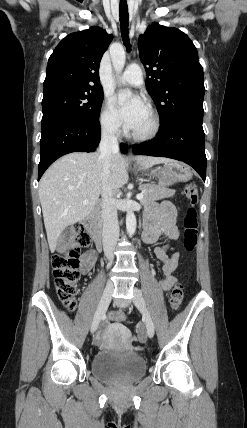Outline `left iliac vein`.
<instances>
[{
	"label": "left iliac vein",
	"instance_id": "left-iliac-vein-1",
	"mask_svg": "<svg viewBox=\"0 0 247 428\" xmlns=\"http://www.w3.org/2000/svg\"><path fill=\"white\" fill-rule=\"evenodd\" d=\"M133 295H134V298H133L134 305L137 307L138 310H140L143 313L147 334L150 338H152L154 336L155 326L150 314L147 311L146 303L143 298L142 292L135 287L133 289Z\"/></svg>",
	"mask_w": 247,
	"mask_h": 428
}]
</instances>
